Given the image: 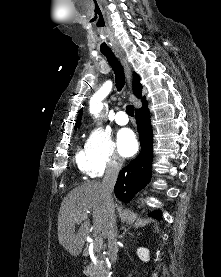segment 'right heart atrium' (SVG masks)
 <instances>
[{
	"mask_svg": "<svg viewBox=\"0 0 221 277\" xmlns=\"http://www.w3.org/2000/svg\"><path fill=\"white\" fill-rule=\"evenodd\" d=\"M85 149L90 169L89 174L92 176L115 172L122 166L110 134L100 127L91 131Z\"/></svg>",
	"mask_w": 221,
	"mask_h": 277,
	"instance_id": "1",
	"label": "right heart atrium"
}]
</instances>
